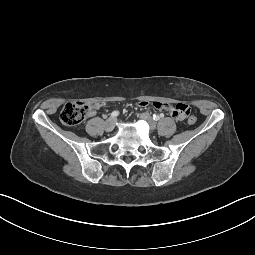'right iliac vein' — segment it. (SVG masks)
<instances>
[{"label": "right iliac vein", "mask_w": 255, "mask_h": 255, "mask_svg": "<svg viewBox=\"0 0 255 255\" xmlns=\"http://www.w3.org/2000/svg\"><path fill=\"white\" fill-rule=\"evenodd\" d=\"M115 127V119L114 118H109L105 122V130L107 132H111Z\"/></svg>", "instance_id": "1"}]
</instances>
